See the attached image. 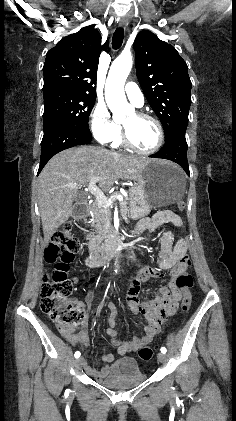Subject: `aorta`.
Here are the masks:
<instances>
[{"label": "aorta", "mask_w": 236, "mask_h": 421, "mask_svg": "<svg viewBox=\"0 0 236 421\" xmlns=\"http://www.w3.org/2000/svg\"><path fill=\"white\" fill-rule=\"evenodd\" d=\"M132 54H120L113 60L108 72L105 84V98L110 110H114V104L124 102V84L132 68Z\"/></svg>", "instance_id": "aorta-1"}]
</instances>
